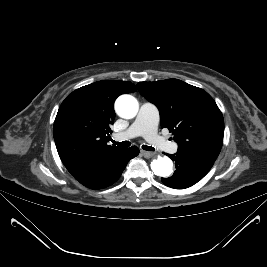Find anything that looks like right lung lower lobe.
<instances>
[{
    "label": "right lung lower lobe",
    "mask_w": 267,
    "mask_h": 267,
    "mask_svg": "<svg viewBox=\"0 0 267 267\" xmlns=\"http://www.w3.org/2000/svg\"><path fill=\"white\" fill-rule=\"evenodd\" d=\"M138 154L136 146L120 149L96 159L81 175L74 178L90 189L106 188L119 179L128 161Z\"/></svg>",
    "instance_id": "obj_1"
}]
</instances>
